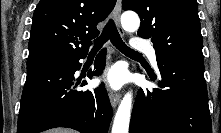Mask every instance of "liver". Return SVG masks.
Returning <instances> with one entry per match:
<instances>
[{
	"label": "liver",
	"instance_id": "obj_1",
	"mask_svg": "<svg viewBox=\"0 0 221 133\" xmlns=\"http://www.w3.org/2000/svg\"><path fill=\"white\" fill-rule=\"evenodd\" d=\"M48 133H75V132L70 129L58 128V129H52Z\"/></svg>",
	"mask_w": 221,
	"mask_h": 133
}]
</instances>
